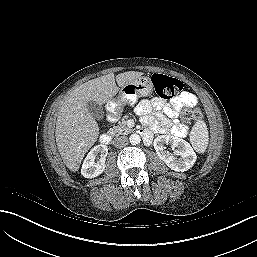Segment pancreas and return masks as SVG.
Listing matches in <instances>:
<instances>
[{"mask_svg": "<svg viewBox=\"0 0 257 257\" xmlns=\"http://www.w3.org/2000/svg\"><path fill=\"white\" fill-rule=\"evenodd\" d=\"M133 130L126 125L125 122H122L118 126H114L109 130V132L113 135L119 136V135H128L131 133Z\"/></svg>", "mask_w": 257, "mask_h": 257, "instance_id": "1", "label": "pancreas"}]
</instances>
